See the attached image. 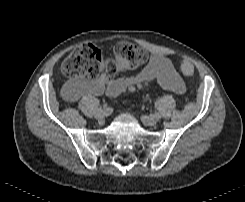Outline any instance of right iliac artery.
Instances as JSON below:
<instances>
[{
  "mask_svg": "<svg viewBox=\"0 0 245 202\" xmlns=\"http://www.w3.org/2000/svg\"><path fill=\"white\" fill-rule=\"evenodd\" d=\"M104 110L107 112V113H111L113 111L112 108L108 107V106H104Z\"/></svg>",
  "mask_w": 245,
  "mask_h": 202,
  "instance_id": "1",
  "label": "right iliac artery"
}]
</instances>
